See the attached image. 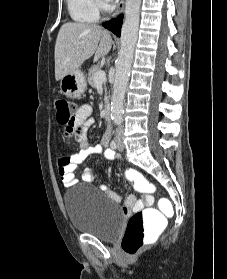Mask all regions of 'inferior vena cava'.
<instances>
[{
    "label": "inferior vena cava",
    "instance_id": "inferior-vena-cava-1",
    "mask_svg": "<svg viewBox=\"0 0 227 279\" xmlns=\"http://www.w3.org/2000/svg\"><path fill=\"white\" fill-rule=\"evenodd\" d=\"M122 132H123V129H122L121 126L116 129V134L117 135H120Z\"/></svg>",
    "mask_w": 227,
    "mask_h": 279
}]
</instances>
